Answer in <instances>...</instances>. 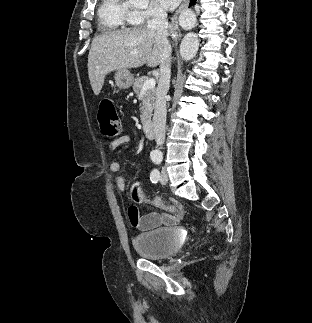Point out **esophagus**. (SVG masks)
<instances>
[{
  "label": "esophagus",
  "mask_w": 312,
  "mask_h": 323,
  "mask_svg": "<svg viewBox=\"0 0 312 323\" xmlns=\"http://www.w3.org/2000/svg\"><path fill=\"white\" fill-rule=\"evenodd\" d=\"M189 4V0H183V2L181 3L180 7L177 8V10L175 11V13L173 14L172 18H171V22H170V30L173 34V36L177 37L178 32H179V27H178V16L180 14V12L186 8Z\"/></svg>",
  "instance_id": "1"
}]
</instances>
